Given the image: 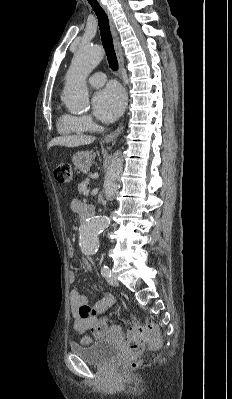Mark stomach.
<instances>
[{"instance_id":"1","label":"stomach","mask_w":232,"mask_h":399,"mask_svg":"<svg viewBox=\"0 0 232 399\" xmlns=\"http://www.w3.org/2000/svg\"><path fill=\"white\" fill-rule=\"evenodd\" d=\"M92 160L91 152H77L72 158L74 166H76L77 170H80V172H84V174H88L92 166Z\"/></svg>"}]
</instances>
